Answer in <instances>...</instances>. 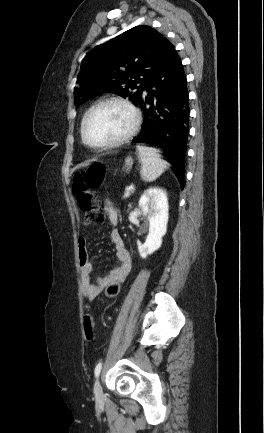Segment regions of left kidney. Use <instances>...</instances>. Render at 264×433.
Instances as JSON below:
<instances>
[{
    "label": "left kidney",
    "instance_id": "left-kidney-1",
    "mask_svg": "<svg viewBox=\"0 0 264 433\" xmlns=\"http://www.w3.org/2000/svg\"><path fill=\"white\" fill-rule=\"evenodd\" d=\"M139 207L149 221V234L142 244L137 241L142 258L152 254L161 247L162 237L167 232L168 199L164 189L152 187L147 189L139 200Z\"/></svg>",
    "mask_w": 264,
    "mask_h": 433
}]
</instances>
